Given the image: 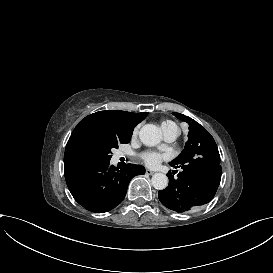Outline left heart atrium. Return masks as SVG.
Here are the masks:
<instances>
[{
	"label": "left heart atrium",
	"mask_w": 273,
	"mask_h": 273,
	"mask_svg": "<svg viewBox=\"0 0 273 273\" xmlns=\"http://www.w3.org/2000/svg\"><path fill=\"white\" fill-rule=\"evenodd\" d=\"M143 160L149 165H156L160 160V155L154 152L144 153L142 156Z\"/></svg>",
	"instance_id": "left-heart-atrium-1"
}]
</instances>
